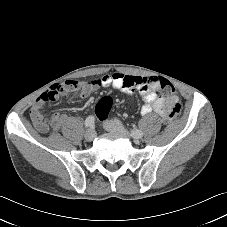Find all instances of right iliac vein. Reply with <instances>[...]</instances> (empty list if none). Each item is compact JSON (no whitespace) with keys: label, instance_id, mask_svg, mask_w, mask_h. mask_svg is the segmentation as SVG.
Returning a JSON list of instances; mask_svg holds the SVG:
<instances>
[{"label":"right iliac vein","instance_id":"obj_1","mask_svg":"<svg viewBox=\"0 0 227 227\" xmlns=\"http://www.w3.org/2000/svg\"><path fill=\"white\" fill-rule=\"evenodd\" d=\"M84 136H85V139L90 142V141H92L95 138L96 133H95V131L93 129H88L85 132Z\"/></svg>","mask_w":227,"mask_h":227}]
</instances>
